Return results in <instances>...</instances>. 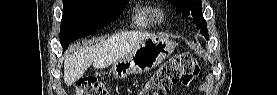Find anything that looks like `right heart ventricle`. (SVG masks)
Segmentation results:
<instances>
[{
    "label": "right heart ventricle",
    "mask_w": 277,
    "mask_h": 95,
    "mask_svg": "<svg viewBox=\"0 0 277 95\" xmlns=\"http://www.w3.org/2000/svg\"><path fill=\"white\" fill-rule=\"evenodd\" d=\"M151 11L147 6H139L135 16V24L137 27H146L151 24Z\"/></svg>",
    "instance_id": "right-heart-ventricle-1"
}]
</instances>
